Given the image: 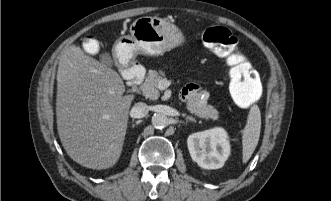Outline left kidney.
I'll list each match as a JSON object with an SVG mask.
<instances>
[{"instance_id":"left-kidney-1","label":"left kidney","mask_w":331,"mask_h":201,"mask_svg":"<svg viewBox=\"0 0 331 201\" xmlns=\"http://www.w3.org/2000/svg\"><path fill=\"white\" fill-rule=\"evenodd\" d=\"M193 161L203 169H219L230 155L227 132L220 127L197 132L187 139Z\"/></svg>"}]
</instances>
